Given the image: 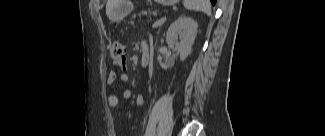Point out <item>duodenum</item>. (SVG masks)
I'll return each mask as SVG.
<instances>
[{
	"mask_svg": "<svg viewBox=\"0 0 325 136\" xmlns=\"http://www.w3.org/2000/svg\"><path fill=\"white\" fill-rule=\"evenodd\" d=\"M149 56H150V52H149L148 44L146 42H144L141 45V65L143 67L148 65Z\"/></svg>",
	"mask_w": 325,
	"mask_h": 136,
	"instance_id": "obj_1",
	"label": "duodenum"
}]
</instances>
